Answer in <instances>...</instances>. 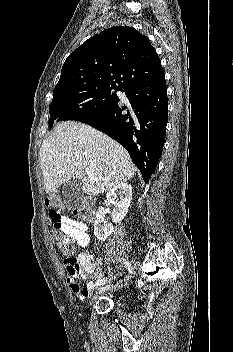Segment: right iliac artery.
Returning a JSON list of instances; mask_svg holds the SVG:
<instances>
[{
  "instance_id": "obj_1",
  "label": "right iliac artery",
  "mask_w": 233,
  "mask_h": 352,
  "mask_svg": "<svg viewBox=\"0 0 233 352\" xmlns=\"http://www.w3.org/2000/svg\"><path fill=\"white\" fill-rule=\"evenodd\" d=\"M119 261L124 264V266L126 267V269L129 272V274L132 273V265L127 259H119ZM111 287H113V285H107L105 287L100 288L99 291H102V290H105V289H108V288H111Z\"/></svg>"
}]
</instances>
